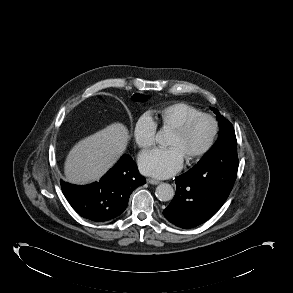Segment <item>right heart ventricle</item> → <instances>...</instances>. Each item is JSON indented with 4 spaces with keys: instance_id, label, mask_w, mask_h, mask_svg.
Listing matches in <instances>:
<instances>
[{
    "instance_id": "e07e8e85",
    "label": "right heart ventricle",
    "mask_w": 293,
    "mask_h": 293,
    "mask_svg": "<svg viewBox=\"0 0 293 293\" xmlns=\"http://www.w3.org/2000/svg\"><path fill=\"white\" fill-rule=\"evenodd\" d=\"M201 110L185 102H175L160 108L156 117L163 128L175 130L190 118L201 114Z\"/></svg>"
}]
</instances>
